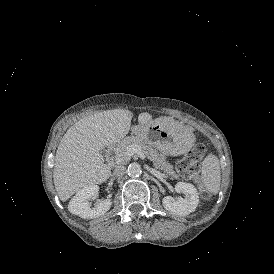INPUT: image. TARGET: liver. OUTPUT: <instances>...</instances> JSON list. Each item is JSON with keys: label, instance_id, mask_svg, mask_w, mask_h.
<instances>
[{"label": "liver", "instance_id": "obj_1", "mask_svg": "<svg viewBox=\"0 0 274 274\" xmlns=\"http://www.w3.org/2000/svg\"><path fill=\"white\" fill-rule=\"evenodd\" d=\"M132 117L129 110L101 111L84 117L68 129L54 164V183L61 200H67L88 184L102 183L110 177V166L104 164L101 150L127 134ZM150 119L148 113L139 116L141 124Z\"/></svg>", "mask_w": 274, "mask_h": 274}]
</instances>
